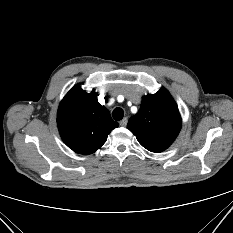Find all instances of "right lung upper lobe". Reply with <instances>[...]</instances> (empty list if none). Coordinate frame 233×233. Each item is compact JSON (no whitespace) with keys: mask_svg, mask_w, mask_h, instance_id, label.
I'll return each instance as SVG.
<instances>
[{"mask_svg":"<svg viewBox=\"0 0 233 233\" xmlns=\"http://www.w3.org/2000/svg\"><path fill=\"white\" fill-rule=\"evenodd\" d=\"M57 124L62 140L73 151L88 155L98 150L118 127L109 111L98 103L97 93L74 86L61 101Z\"/></svg>","mask_w":233,"mask_h":233,"instance_id":"cb5924a9","label":"right lung upper lobe"}]
</instances>
